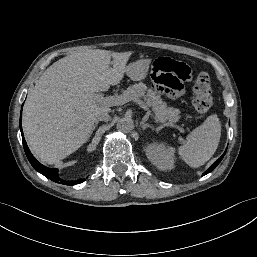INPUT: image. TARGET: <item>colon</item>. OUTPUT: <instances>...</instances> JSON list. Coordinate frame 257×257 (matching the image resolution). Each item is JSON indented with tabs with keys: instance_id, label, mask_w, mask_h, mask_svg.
<instances>
[{
	"instance_id": "obj_1",
	"label": "colon",
	"mask_w": 257,
	"mask_h": 257,
	"mask_svg": "<svg viewBox=\"0 0 257 257\" xmlns=\"http://www.w3.org/2000/svg\"><path fill=\"white\" fill-rule=\"evenodd\" d=\"M194 109L199 114H206L212 106V84L210 76L207 73H200L194 83Z\"/></svg>"
}]
</instances>
